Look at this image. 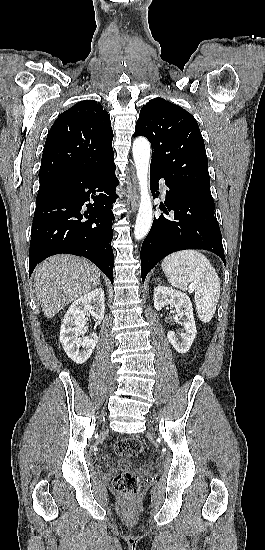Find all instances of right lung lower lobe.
<instances>
[{"label": "right lung lower lobe", "instance_id": "1", "mask_svg": "<svg viewBox=\"0 0 265 550\" xmlns=\"http://www.w3.org/2000/svg\"><path fill=\"white\" fill-rule=\"evenodd\" d=\"M114 161L64 177L38 192L31 241L29 276L38 263L59 253L84 256L113 283L111 211L116 201ZM93 199L94 203H84Z\"/></svg>", "mask_w": 265, "mask_h": 550}]
</instances>
